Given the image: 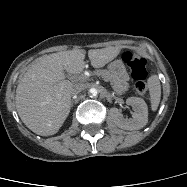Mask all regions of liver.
<instances>
[{
  "label": "liver",
  "instance_id": "6515ba94",
  "mask_svg": "<svg viewBox=\"0 0 187 187\" xmlns=\"http://www.w3.org/2000/svg\"><path fill=\"white\" fill-rule=\"evenodd\" d=\"M120 47L91 49L88 57L94 68H102L120 53ZM85 50L75 49L45 55L24 72L16 89V109L22 122L42 136L56 134L71 108L73 83L64 71L81 73L86 63Z\"/></svg>",
  "mask_w": 187,
  "mask_h": 187
}]
</instances>
